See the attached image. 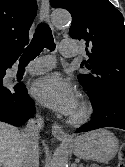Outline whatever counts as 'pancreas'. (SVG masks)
<instances>
[{
    "mask_svg": "<svg viewBox=\"0 0 125 167\" xmlns=\"http://www.w3.org/2000/svg\"><path fill=\"white\" fill-rule=\"evenodd\" d=\"M92 167H100V166H98V165H92Z\"/></svg>",
    "mask_w": 125,
    "mask_h": 167,
    "instance_id": "obj_1",
    "label": "pancreas"
}]
</instances>
